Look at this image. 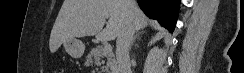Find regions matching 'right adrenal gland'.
Masks as SVG:
<instances>
[{
	"label": "right adrenal gland",
	"mask_w": 244,
	"mask_h": 73,
	"mask_svg": "<svg viewBox=\"0 0 244 73\" xmlns=\"http://www.w3.org/2000/svg\"><path fill=\"white\" fill-rule=\"evenodd\" d=\"M136 39H140L139 35H136V36L133 38L132 43H131L132 45H133V43L135 42Z\"/></svg>",
	"instance_id": "right-adrenal-gland-1"
}]
</instances>
